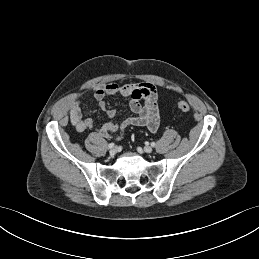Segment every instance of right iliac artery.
<instances>
[{"instance_id":"82829eb1","label":"right iliac artery","mask_w":259,"mask_h":259,"mask_svg":"<svg viewBox=\"0 0 259 259\" xmlns=\"http://www.w3.org/2000/svg\"><path fill=\"white\" fill-rule=\"evenodd\" d=\"M114 143H110L109 145H108V148H113L114 147Z\"/></svg>"}]
</instances>
